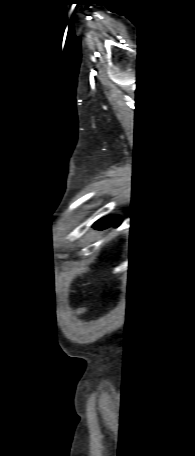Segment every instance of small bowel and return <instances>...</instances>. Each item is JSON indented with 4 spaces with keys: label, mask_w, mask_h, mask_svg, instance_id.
<instances>
[{
    "label": "small bowel",
    "mask_w": 195,
    "mask_h": 456,
    "mask_svg": "<svg viewBox=\"0 0 195 456\" xmlns=\"http://www.w3.org/2000/svg\"><path fill=\"white\" fill-rule=\"evenodd\" d=\"M78 311H79V312H81V311H82V309H79Z\"/></svg>",
    "instance_id": "1"
}]
</instances>
